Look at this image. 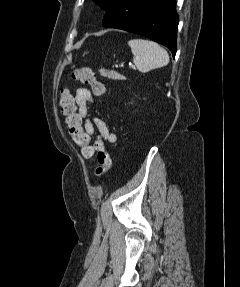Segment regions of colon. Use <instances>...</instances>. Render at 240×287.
<instances>
[{
    "label": "colon",
    "instance_id": "colon-1",
    "mask_svg": "<svg viewBox=\"0 0 240 287\" xmlns=\"http://www.w3.org/2000/svg\"><path fill=\"white\" fill-rule=\"evenodd\" d=\"M71 80L89 85L97 96L105 93V85L95 78L94 72L88 67L74 69L70 75ZM62 113L66 116L70 135L73 141L80 147L82 155L91 159L97 152L96 177L102 178L109 171L112 160L108 150L96 151L90 142V136L82 126V119L76 111L74 97L67 88H63L59 100Z\"/></svg>",
    "mask_w": 240,
    "mask_h": 287
}]
</instances>
